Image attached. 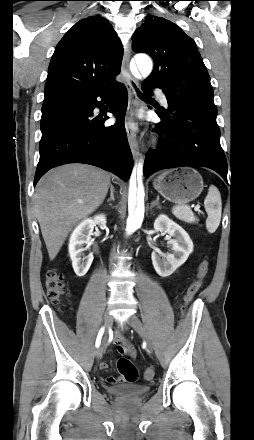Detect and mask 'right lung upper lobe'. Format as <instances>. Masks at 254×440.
Listing matches in <instances>:
<instances>
[{
    "label": "right lung upper lobe",
    "instance_id": "cb5924a9",
    "mask_svg": "<svg viewBox=\"0 0 254 440\" xmlns=\"http://www.w3.org/2000/svg\"><path fill=\"white\" fill-rule=\"evenodd\" d=\"M123 49L109 22L87 17L70 28L50 61L45 99L85 89H111L119 83Z\"/></svg>",
    "mask_w": 254,
    "mask_h": 440
}]
</instances>
